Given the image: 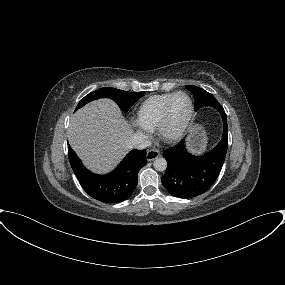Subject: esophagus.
Segmentation results:
<instances>
[{"instance_id":"obj_1","label":"esophagus","mask_w":285,"mask_h":285,"mask_svg":"<svg viewBox=\"0 0 285 285\" xmlns=\"http://www.w3.org/2000/svg\"><path fill=\"white\" fill-rule=\"evenodd\" d=\"M159 155H160V152L157 149L148 150L146 154L147 161H153L156 158H158Z\"/></svg>"}]
</instances>
